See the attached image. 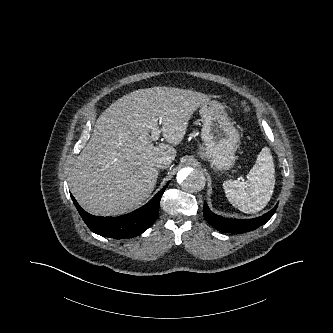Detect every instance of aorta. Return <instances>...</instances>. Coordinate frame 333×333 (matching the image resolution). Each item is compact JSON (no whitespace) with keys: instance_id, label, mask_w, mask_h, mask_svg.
Segmentation results:
<instances>
[{"instance_id":"obj_1","label":"aorta","mask_w":333,"mask_h":333,"mask_svg":"<svg viewBox=\"0 0 333 333\" xmlns=\"http://www.w3.org/2000/svg\"><path fill=\"white\" fill-rule=\"evenodd\" d=\"M177 181L181 188L188 193H197L205 187V176L198 169L183 168L177 173Z\"/></svg>"}]
</instances>
